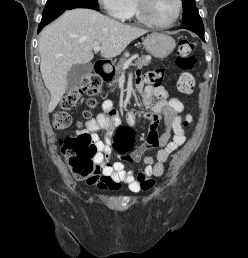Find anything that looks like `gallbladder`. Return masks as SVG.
Instances as JSON below:
<instances>
[{"label": "gallbladder", "instance_id": "gallbladder-1", "mask_svg": "<svg viewBox=\"0 0 248 258\" xmlns=\"http://www.w3.org/2000/svg\"><path fill=\"white\" fill-rule=\"evenodd\" d=\"M92 70V63L73 65L67 74L68 90L76 86L80 82V80L84 76L90 74Z\"/></svg>", "mask_w": 248, "mask_h": 258}]
</instances>
